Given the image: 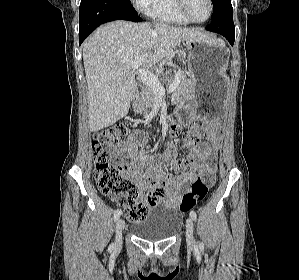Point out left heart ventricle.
Wrapping results in <instances>:
<instances>
[{"label":"left heart ventricle","instance_id":"b2bd125f","mask_svg":"<svg viewBox=\"0 0 299 280\" xmlns=\"http://www.w3.org/2000/svg\"><path fill=\"white\" fill-rule=\"evenodd\" d=\"M186 7L190 16L198 21L204 20L209 12L207 0H187Z\"/></svg>","mask_w":299,"mask_h":280}]
</instances>
